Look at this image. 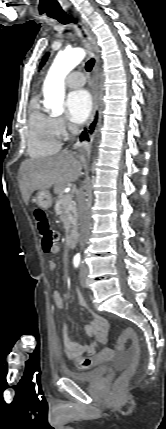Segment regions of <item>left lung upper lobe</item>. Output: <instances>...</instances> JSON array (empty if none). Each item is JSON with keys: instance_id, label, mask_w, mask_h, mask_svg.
Returning a JSON list of instances; mask_svg holds the SVG:
<instances>
[{"instance_id": "obj_1", "label": "left lung upper lobe", "mask_w": 166, "mask_h": 429, "mask_svg": "<svg viewBox=\"0 0 166 429\" xmlns=\"http://www.w3.org/2000/svg\"><path fill=\"white\" fill-rule=\"evenodd\" d=\"M48 56H49V53H47L44 57H43V59H42V61H41V63H40V68L45 64V62H46V60H47V58H48Z\"/></svg>"}]
</instances>
